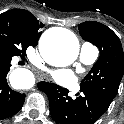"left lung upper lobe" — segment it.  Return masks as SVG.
I'll list each match as a JSON object with an SVG mask.
<instances>
[{"label": "left lung upper lobe", "mask_w": 124, "mask_h": 124, "mask_svg": "<svg viewBox=\"0 0 124 124\" xmlns=\"http://www.w3.org/2000/svg\"><path fill=\"white\" fill-rule=\"evenodd\" d=\"M81 37L96 45L100 56L81 81L80 91L98 98L109 107L124 74V54L118 36L107 26L87 21L78 25Z\"/></svg>", "instance_id": "obj_1"}]
</instances>
